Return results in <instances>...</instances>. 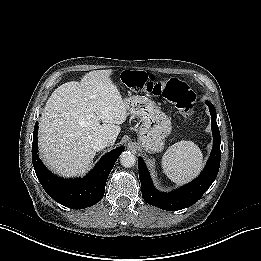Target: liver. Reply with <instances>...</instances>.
Instances as JSON below:
<instances>
[{"label":"liver","mask_w":261,"mask_h":261,"mask_svg":"<svg viewBox=\"0 0 261 261\" xmlns=\"http://www.w3.org/2000/svg\"><path fill=\"white\" fill-rule=\"evenodd\" d=\"M111 74L91 71L80 82L62 84L47 100L39 122V148L55 173H85L96 155L93 140L100 135L108 137L109 145L115 143L128 108Z\"/></svg>","instance_id":"6515ba94"}]
</instances>
